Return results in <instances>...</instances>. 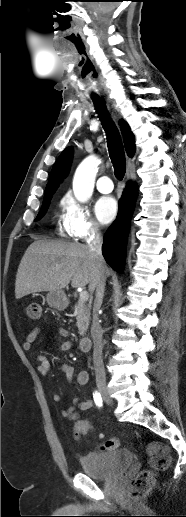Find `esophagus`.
Returning <instances> with one entry per match:
<instances>
[{
	"label": "esophagus",
	"mask_w": 186,
	"mask_h": 517,
	"mask_svg": "<svg viewBox=\"0 0 186 517\" xmlns=\"http://www.w3.org/2000/svg\"><path fill=\"white\" fill-rule=\"evenodd\" d=\"M129 173H130V167H128V170H127V178H129Z\"/></svg>",
	"instance_id": "34e87169"
}]
</instances>
